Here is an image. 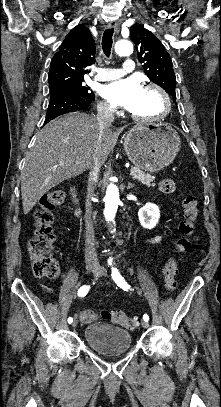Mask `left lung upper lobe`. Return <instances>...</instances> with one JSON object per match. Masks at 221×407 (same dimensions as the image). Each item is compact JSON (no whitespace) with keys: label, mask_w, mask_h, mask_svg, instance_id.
Here are the masks:
<instances>
[{"label":"left lung upper lobe","mask_w":221,"mask_h":407,"mask_svg":"<svg viewBox=\"0 0 221 407\" xmlns=\"http://www.w3.org/2000/svg\"><path fill=\"white\" fill-rule=\"evenodd\" d=\"M130 34L145 74L152 82L170 94L175 101L176 77L172 68L173 64L161 41L142 26H132Z\"/></svg>","instance_id":"5c2ea615"}]
</instances>
